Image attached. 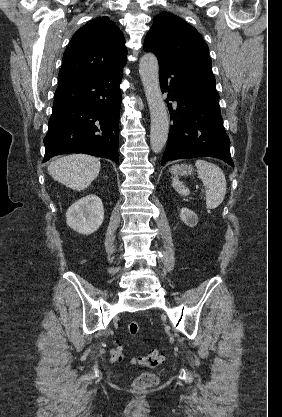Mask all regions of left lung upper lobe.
<instances>
[{
	"label": "left lung upper lobe",
	"instance_id": "left-lung-upper-lobe-1",
	"mask_svg": "<svg viewBox=\"0 0 282 417\" xmlns=\"http://www.w3.org/2000/svg\"><path fill=\"white\" fill-rule=\"evenodd\" d=\"M153 21L143 48L152 51L160 64L212 67L209 48L194 27L169 12L156 15Z\"/></svg>",
	"mask_w": 282,
	"mask_h": 417
}]
</instances>
